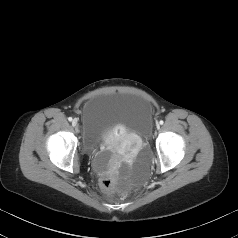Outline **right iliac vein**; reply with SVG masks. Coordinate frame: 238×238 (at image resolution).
<instances>
[{"instance_id":"right-iliac-vein-1","label":"right iliac vein","mask_w":238,"mask_h":238,"mask_svg":"<svg viewBox=\"0 0 238 238\" xmlns=\"http://www.w3.org/2000/svg\"><path fill=\"white\" fill-rule=\"evenodd\" d=\"M78 125V121H77V119H74L73 121H72V126L73 127H76Z\"/></svg>"}]
</instances>
